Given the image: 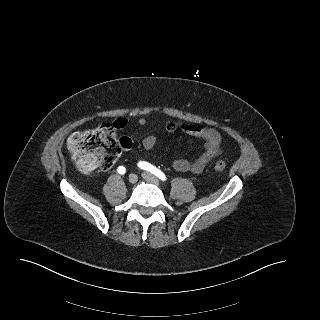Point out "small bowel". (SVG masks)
<instances>
[{
  "label": "small bowel",
  "instance_id": "obj_1",
  "mask_svg": "<svg viewBox=\"0 0 320 320\" xmlns=\"http://www.w3.org/2000/svg\"><path fill=\"white\" fill-rule=\"evenodd\" d=\"M126 122L122 119L116 122L117 127H124ZM146 120L140 118L139 126H144ZM165 130L169 133L180 130L181 132L202 139L204 141L203 152L194 160L176 159L173 161V168L179 172H192L195 174L201 173L206 166L216 157L223 153L222 138L220 133L214 128L201 127L189 123L169 122L165 126ZM157 144V138L154 135H148L142 140V145L145 150H152Z\"/></svg>",
  "mask_w": 320,
  "mask_h": 320
}]
</instances>
